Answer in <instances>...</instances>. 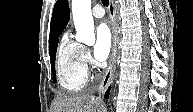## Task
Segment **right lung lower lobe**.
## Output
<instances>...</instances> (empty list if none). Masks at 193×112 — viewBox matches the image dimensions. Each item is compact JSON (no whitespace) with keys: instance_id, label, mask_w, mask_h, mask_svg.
Here are the masks:
<instances>
[{"instance_id":"1","label":"right lung lower lobe","mask_w":193,"mask_h":112,"mask_svg":"<svg viewBox=\"0 0 193 112\" xmlns=\"http://www.w3.org/2000/svg\"><path fill=\"white\" fill-rule=\"evenodd\" d=\"M109 91H110V88L107 90V92H106V95H105V98L107 99L108 98V93H109Z\"/></svg>"}]
</instances>
